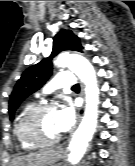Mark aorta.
<instances>
[{"mask_svg": "<svg viewBox=\"0 0 135 166\" xmlns=\"http://www.w3.org/2000/svg\"><path fill=\"white\" fill-rule=\"evenodd\" d=\"M58 68H69L85 85L86 107L84 117L73 134L69 144L68 161L76 165L86 152L92 139L98 119L99 92L96 73L92 64L84 57L73 54H60L56 60Z\"/></svg>", "mask_w": 135, "mask_h": 166, "instance_id": "obj_1", "label": "aorta"}]
</instances>
